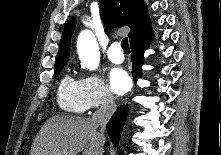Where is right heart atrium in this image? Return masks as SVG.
<instances>
[{
  "mask_svg": "<svg viewBox=\"0 0 221 155\" xmlns=\"http://www.w3.org/2000/svg\"><path fill=\"white\" fill-rule=\"evenodd\" d=\"M82 95L87 109L110 106L114 96L104 80L97 74H87L81 79Z\"/></svg>",
  "mask_w": 221,
  "mask_h": 155,
  "instance_id": "1",
  "label": "right heart atrium"
}]
</instances>
